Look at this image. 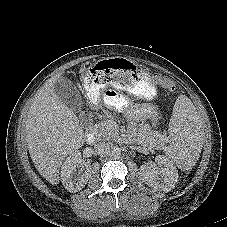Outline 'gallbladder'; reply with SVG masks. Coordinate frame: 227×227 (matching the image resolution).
I'll use <instances>...</instances> for the list:
<instances>
[{
	"instance_id": "gallbladder-1",
	"label": "gallbladder",
	"mask_w": 227,
	"mask_h": 227,
	"mask_svg": "<svg viewBox=\"0 0 227 227\" xmlns=\"http://www.w3.org/2000/svg\"><path fill=\"white\" fill-rule=\"evenodd\" d=\"M54 91L58 99L72 111L79 112L82 109L83 102L79 90L71 80L66 77H59L54 84Z\"/></svg>"
}]
</instances>
